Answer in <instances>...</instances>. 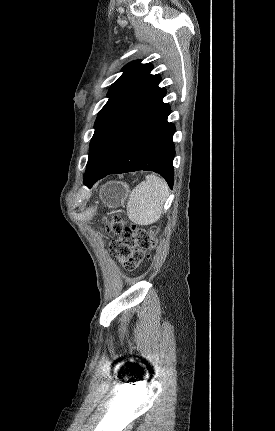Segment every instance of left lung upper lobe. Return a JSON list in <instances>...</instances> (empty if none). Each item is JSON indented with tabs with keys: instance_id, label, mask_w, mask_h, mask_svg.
<instances>
[{
	"instance_id": "left-lung-upper-lobe-1",
	"label": "left lung upper lobe",
	"mask_w": 275,
	"mask_h": 431,
	"mask_svg": "<svg viewBox=\"0 0 275 431\" xmlns=\"http://www.w3.org/2000/svg\"><path fill=\"white\" fill-rule=\"evenodd\" d=\"M151 63L132 61L112 84L109 100L100 110L90 142L86 182L92 175L106 170L122 149L166 105V89L158 85L160 75H152Z\"/></svg>"
}]
</instances>
